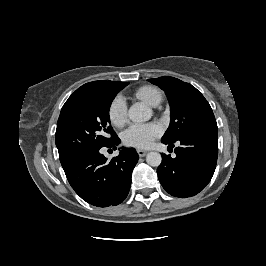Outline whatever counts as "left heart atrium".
Returning <instances> with one entry per match:
<instances>
[{"label":"left heart atrium","mask_w":266,"mask_h":266,"mask_svg":"<svg viewBox=\"0 0 266 266\" xmlns=\"http://www.w3.org/2000/svg\"><path fill=\"white\" fill-rule=\"evenodd\" d=\"M161 132L157 123L133 124L123 133V142L130 147L148 148Z\"/></svg>","instance_id":"39dd6f15"}]
</instances>
